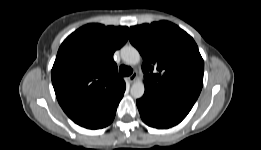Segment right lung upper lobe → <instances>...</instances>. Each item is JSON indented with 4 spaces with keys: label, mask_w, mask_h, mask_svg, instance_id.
Listing matches in <instances>:
<instances>
[{
    "label": "right lung upper lobe",
    "mask_w": 261,
    "mask_h": 150,
    "mask_svg": "<svg viewBox=\"0 0 261 150\" xmlns=\"http://www.w3.org/2000/svg\"><path fill=\"white\" fill-rule=\"evenodd\" d=\"M128 27L85 25L61 44L51 78L64 112L83 126L119 102L125 82L113 60L128 39Z\"/></svg>",
    "instance_id": "1"
}]
</instances>
